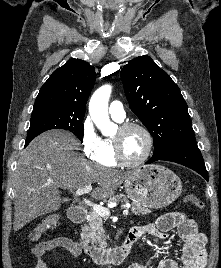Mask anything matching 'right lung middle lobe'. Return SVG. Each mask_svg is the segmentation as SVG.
Wrapping results in <instances>:
<instances>
[{"label":"right lung middle lobe","mask_w":221,"mask_h":268,"mask_svg":"<svg viewBox=\"0 0 221 268\" xmlns=\"http://www.w3.org/2000/svg\"><path fill=\"white\" fill-rule=\"evenodd\" d=\"M84 115L62 109L33 111L27 137H36L49 129H64L72 132L82 141Z\"/></svg>","instance_id":"right-lung-middle-lobe-1"}]
</instances>
